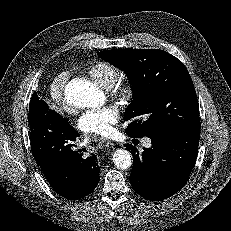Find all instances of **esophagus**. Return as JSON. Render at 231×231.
I'll use <instances>...</instances> for the list:
<instances>
[{
  "label": "esophagus",
  "mask_w": 231,
  "mask_h": 231,
  "mask_svg": "<svg viewBox=\"0 0 231 231\" xmlns=\"http://www.w3.org/2000/svg\"><path fill=\"white\" fill-rule=\"evenodd\" d=\"M100 143H101L103 146H107V147L113 146V145H114V143H113L112 141L106 140V139L101 140Z\"/></svg>",
  "instance_id": "1"
}]
</instances>
